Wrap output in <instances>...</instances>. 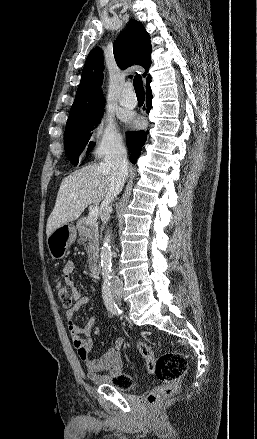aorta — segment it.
I'll use <instances>...</instances> for the list:
<instances>
[{"label":"aorta","mask_w":257,"mask_h":439,"mask_svg":"<svg viewBox=\"0 0 257 439\" xmlns=\"http://www.w3.org/2000/svg\"><path fill=\"white\" fill-rule=\"evenodd\" d=\"M101 275L104 282L111 279L112 275V251L111 234H106L100 252Z\"/></svg>","instance_id":"1"}]
</instances>
